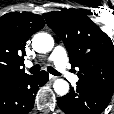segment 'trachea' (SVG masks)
Segmentation results:
<instances>
[{
	"instance_id": "1",
	"label": "trachea",
	"mask_w": 114,
	"mask_h": 114,
	"mask_svg": "<svg viewBox=\"0 0 114 114\" xmlns=\"http://www.w3.org/2000/svg\"><path fill=\"white\" fill-rule=\"evenodd\" d=\"M47 70H48V72L49 73H51L52 75H54V76H61V73H59L57 70H55L53 67H51V66H48V68H47ZM40 71V65H35V66H33V67H31L30 68V70H29V72L31 73V74H35V73H37V72H39Z\"/></svg>"
}]
</instances>
